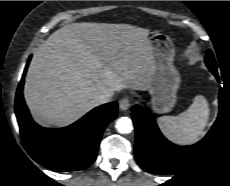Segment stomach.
<instances>
[{
  "label": "stomach",
  "mask_w": 230,
  "mask_h": 186,
  "mask_svg": "<svg viewBox=\"0 0 230 186\" xmlns=\"http://www.w3.org/2000/svg\"><path fill=\"white\" fill-rule=\"evenodd\" d=\"M149 41L153 58L148 83L152 108L157 113H167L176 103L180 85V75L173 65L175 50L170 38L163 33L154 32Z\"/></svg>",
  "instance_id": "1"
}]
</instances>
